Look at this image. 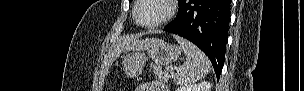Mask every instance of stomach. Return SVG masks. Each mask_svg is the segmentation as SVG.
Wrapping results in <instances>:
<instances>
[{"label": "stomach", "instance_id": "obj_1", "mask_svg": "<svg viewBox=\"0 0 304 91\" xmlns=\"http://www.w3.org/2000/svg\"><path fill=\"white\" fill-rule=\"evenodd\" d=\"M181 54V48L159 39H151L143 50L127 51L122 60L123 71L134 78L141 74L147 59H151L157 67L170 65Z\"/></svg>", "mask_w": 304, "mask_h": 91}]
</instances>
